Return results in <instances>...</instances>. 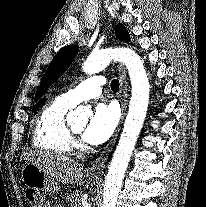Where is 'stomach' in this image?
<instances>
[{"mask_svg": "<svg viewBox=\"0 0 206 207\" xmlns=\"http://www.w3.org/2000/svg\"><path fill=\"white\" fill-rule=\"evenodd\" d=\"M21 179L28 188L36 191L54 194L59 190L58 183L33 163H27L22 167Z\"/></svg>", "mask_w": 206, "mask_h": 207, "instance_id": "obj_1", "label": "stomach"}]
</instances>
